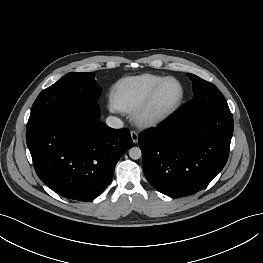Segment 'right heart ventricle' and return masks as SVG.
<instances>
[{
	"mask_svg": "<svg viewBox=\"0 0 263 263\" xmlns=\"http://www.w3.org/2000/svg\"><path fill=\"white\" fill-rule=\"evenodd\" d=\"M163 78L155 74H142L120 79L112 87L111 101L119 111L133 112Z\"/></svg>",
	"mask_w": 263,
	"mask_h": 263,
	"instance_id": "e07e8e85",
	"label": "right heart ventricle"
}]
</instances>
